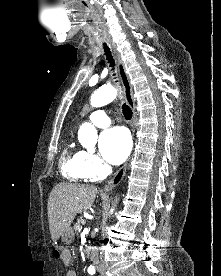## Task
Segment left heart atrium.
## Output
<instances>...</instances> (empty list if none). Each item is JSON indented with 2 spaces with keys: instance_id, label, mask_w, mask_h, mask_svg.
<instances>
[{
  "instance_id": "39dd6f15",
  "label": "left heart atrium",
  "mask_w": 221,
  "mask_h": 276,
  "mask_svg": "<svg viewBox=\"0 0 221 276\" xmlns=\"http://www.w3.org/2000/svg\"><path fill=\"white\" fill-rule=\"evenodd\" d=\"M100 152L110 164L118 165L126 160L131 150L128 132L121 127H114L102 133L99 139Z\"/></svg>"
}]
</instances>
